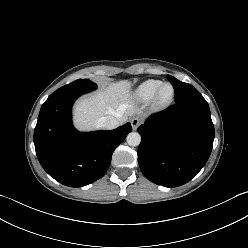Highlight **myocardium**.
Instances as JSON below:
<instances>
[{"mask_svg": "<svg viewBox=\"0 0 248 248\" xmlns=\"http://www.w3.org/2000/svg\"><path fill=\"white\" fill-rule=\"evenodd\" d=\"M166 87H169L171 89V93L167 98H163L162 91ZM174 97H175V89L173 85L168 82L162 83L156 90L154 96L152 97V106L155 109L166 108L173 102Z\"/></svg>", "mask_w": 248, "mask_h": 248, "instance_id": "f54148a6", "label": "myocardium"}]
</instances>
